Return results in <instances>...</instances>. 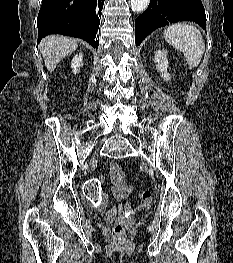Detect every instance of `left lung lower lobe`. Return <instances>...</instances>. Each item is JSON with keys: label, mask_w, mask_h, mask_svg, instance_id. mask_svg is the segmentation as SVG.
<instances>
[{"label": "left lung lower lobe", "mask_w": 233, "mask_h": 263, "mask_svg": "<svg viewBox=\"0 0 233 263\" xmlns=\"http://www.w3.org/2000/svg\"><path fill=\"white\" fill-rule=\"evenodd\" d=\"M184 20L196 22L206 30L201 0H150L146 11L135 20L136 45H140L153 30Z\"/></svg>", "instance_id": "obj_1"}]
</instances>
